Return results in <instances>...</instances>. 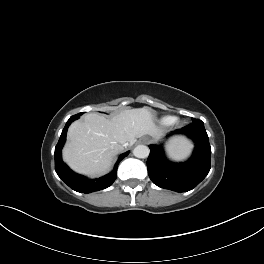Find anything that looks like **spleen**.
<instances>
[{
    "mask_svg": "<svg viewBox=\"0 0 264 264\" xmlns=\"http://www.w3.org/2000/svg\"><path fill=\"white\" fill-rule=\"evenodd\" d=\"M192 147L186 139L177 140L169 147V155L175 160H183L189 156Z\"/></svg>",
    "mask_w": 264,
    "mask_h": 264,
    "instance_id": "obj_1",
    "label": "spleen"
}]
</instances>
